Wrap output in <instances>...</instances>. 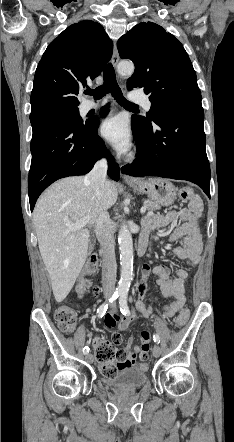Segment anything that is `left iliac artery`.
Returning a JSON list of instances; mask_svg holds the SVG:
<instances>
[{
	"instance_id": "1",
	"label": "left iliac artery",
	"mask_w": 234,
	"mask_h": 442,
	"mask_svg": "<svg viewBox=\"0 0 234 442\" xmlns=\"http://www.w3.org/2000/svg\"><path fill=\"white\" fill-rule=\"evenodd\" d=\"M119 305H120V311L122 312V314L125 315V316H129L130 315V311H129V307H128V304H127V294L126 293H121L120 294ZM153 340H154L155 343H159L160 342L159 335L155 334L153 336Z\"/></svg>"
}]
</instances>
